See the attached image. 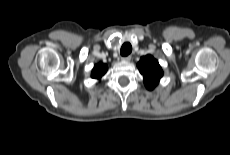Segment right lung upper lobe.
Segmentation results:
<instances>
[{"instance_id": "obj_1", "label": "right lung upper lobe", "mask_w": 230, "mask_h": 155, "mask_svg": "<svg viewBox=\"0 0 230 155\" xmlns=\"http://www.w3.org/2000/svg\"><path fill=\"white\" fill-rule=\"evenodd\" d=\"M107 65L103 63H98L92 70L91 77L95 79H100L107 71Z\"/></svg>"}]
</instances>
